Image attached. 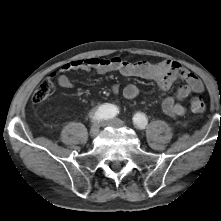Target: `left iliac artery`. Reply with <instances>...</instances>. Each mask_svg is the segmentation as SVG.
Here are the masks:
<instances>
[{
  "instance_id": "1",
  "label": "left iliac artery",
  "mask_w": 221,
  "mask_h": 221,
  "mask_svg": "<svg viewBox=\"0 0 221 221\" xmlns=\"http://www.w3.org/2000/svg\"><path fill=\"white\" fill-rule=\"evenodd\" d=\"M133 122L138 129H145L148 124V120L143 113H136L133 117Z\"/></svg>"
}]
</instances>
